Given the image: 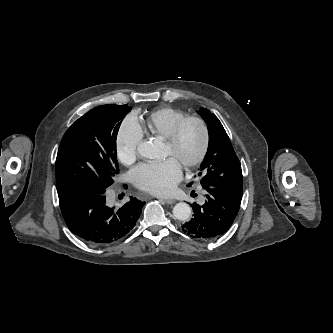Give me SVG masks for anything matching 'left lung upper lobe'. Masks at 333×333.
<instances>
[{
    "instance_id": "5c2ea615",
    "label": "left lung upper lobe",
    "mask_w": 333,
    "mask_h": 333,
    "mask_svg": "<svg viewBox=\"0 0 333 333\" xmlns=\"http://www.w3.org/2000/svg\"><path fill=\"white\" fill-rule=\"evenodd\" d=\"M198 114L204 119L209 132V146L200 166L201 185L209 187H242L240 162L230 139L219 119L208 109L200 108Z\"/></svg>"
}]
</instances>
